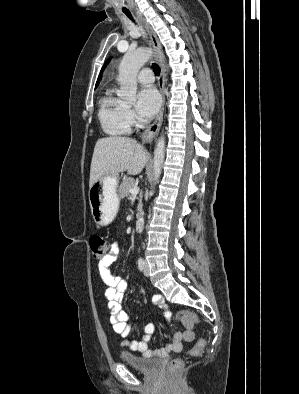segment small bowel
I'll return each mask as SVG.
<instances>
[{
  "label": "small bowel",
  "mask_w": 299,
  "mask_h": 394,
  "mask_svg": "<svg viewBox=\"0 0 299 394\" xmlns=\"http://www.w3.org/2000/svg\"><path fill=\"white\" fill-rule=\"evenodd\" d=\"M120 245L114 242L110 246L108 255L98 263V271L102 281L106 284L105 297L108 300V309L111 314V325L113 330L119 334L122 340V346L139 352L143 357H165L170 352H179L182 350L183 342H190L194 339L193 321L188 316L181 318V323L185 327L183 331H177L172 335L171 342L163 347L156 349H149L148 341L151 339L156 330L154 324L148 323L144 326V333L141 341H136L127 338L132 330V324L129 322V315L121 310L120 302L123 298V293L127 289V281L121 277L113 275L109 266L115 262L119 256ZM153 303L163 311L165 319L170 320L171 313L165 299L161 295H154L152 297Z\"/></svg>",
  "instance_id": "c3829d8e"
}]
</instances>
